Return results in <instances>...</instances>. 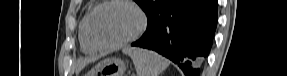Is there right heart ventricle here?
<instances>
[{"instance_id": "e07e8e85", "label": "right heart ventricle", "mask_w": 287, "mask_h": 76, "mask_svg": "<svg viewBox=\"0 0 287 76\" xmlns=\"http://www.w3.org/2000/svg\"><path fill=\"white\" fill-rule=\"evenodd\" d=\"M87 16L86 14L80 24L79 28V38H80V45H81V50L84 53H95L98 51V48L92 44V42L89 40L87 31H86V22H87Z\"/></svg>"}]
</instances>
